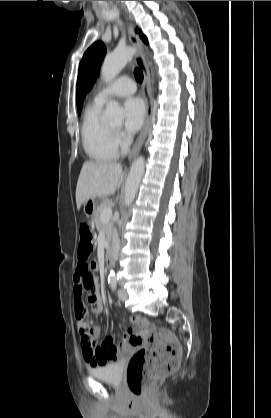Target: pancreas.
Wrapping results in <instances>:
<instances>
[{"label":"pancreas","instance_id":"1","mask_svg":"<svg viewBox=\"0 0 271 418\" xmlns=\"http://www.w3.org/2000/svg\"><path fill=\"white\" fill-rule=\"evenodd\" d=\"M108 206H110L109 200L103 199L94 213L95 226L98 231L104 230L107 241L110 240L112 232H113V222L110 220L108 222H102L101 213Z\"/></svg>","mask_w":271,"mask_h":418}]
</instances>
